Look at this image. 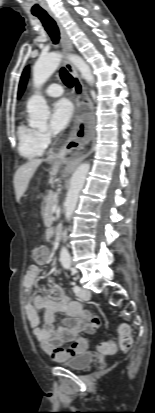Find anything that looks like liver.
<instances>
[{
    "mask_svg": "<svg viewBox=\"0 0 155 413\" xmlns=\"http://www.w3.org/2000/svg\"><path fill=\"white\" fill-rule=\"evenodd\" d=\"M43 159H32L27 163L20 166L14 175V188L17 202L20 201L24 192L26 191L28 184L36 172L39 165L43 162Z\"/></svg>",
    "mask_w": 155,
    "mask_h": 413,
    "instance_id": "6515ba94",
    "label": "liver"
}]
</instances>
